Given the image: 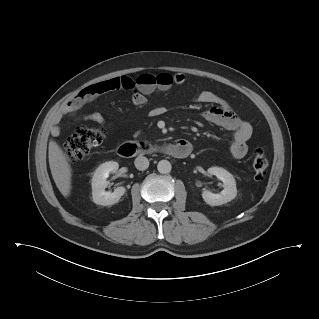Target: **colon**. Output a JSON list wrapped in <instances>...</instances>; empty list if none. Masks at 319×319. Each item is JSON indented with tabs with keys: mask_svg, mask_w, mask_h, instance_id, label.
<instances>
[{
	"mask_svg": "<svg viewBox=\"0 0 319 319\" xmlns=\"http://www.w3.org/2000/svg\"><path fill=\"white\" fill-rule=\"evenodd\" d=\"M162 74H142L136 80L128 79L120 87L124 90L142 89L148 90L159 85ZM107 130L104 127H79L63 143L66 157L70 161H77L87 156L94 148L98 147L104 140ZM269 165L268 157L264 150L258 149L252 157V169L254 177L262 180Z\"/></svg>",
	"mask_w": 319,
	"mask_h": 319,
	"instance_id": "5ec220e1",
	"label": "colon"
}]
</instances>
